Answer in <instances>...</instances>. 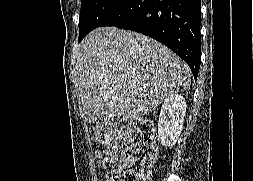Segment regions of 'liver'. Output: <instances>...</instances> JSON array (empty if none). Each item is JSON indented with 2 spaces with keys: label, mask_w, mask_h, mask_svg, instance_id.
I'll list each match as a JSON object with an SVG mask.
<instances>
[{
  "label": "liver",
  "mask_w": 253,
  "mask_h": 181,
  "mask_svg": "<svg viewBox=\"0 0 253 181\" xmlns=\"http://www.w3.org/2000/svg\"><path fill=\"white\" fill-rule=\"evenodd\" d=\"M76 85L82 115L138 118L191 84L186 63L161 43L132 31L100 27L81 42Z\"/></svg>",
  "instance_id": "obj_1"
}]
</instances>
